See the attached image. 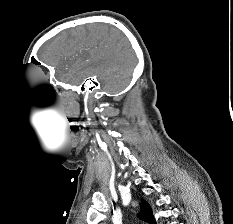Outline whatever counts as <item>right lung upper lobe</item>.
<instances>
[{"label": "right lung upper lobe", "instance_id": "right-lung-upper-lobe-1", "mask_svg": "<svg viewBox=\"0 0 233 224\" xmlns=\"http://www.w3.org/2000/svg\"><path fill=\"white\" fill-rule=\"evenodd\" d=\"M140 208L141 210L138 214V217L148 224H156V221L152 214V209L145 200H142Z\"/></svg>", "mask_w": 233, "mask_h": 224}]
</instances>
